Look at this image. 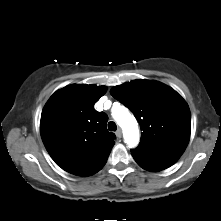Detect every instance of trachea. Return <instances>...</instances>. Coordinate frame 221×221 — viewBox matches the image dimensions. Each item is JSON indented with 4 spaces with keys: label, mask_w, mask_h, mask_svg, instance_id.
I'll return each mask as SVG.
<instances>
[{
    "label": "trachea",
    "mask_w": 221,
    "mask_h": 221,
    "mask_svg": "<svg viewBox=\"0 0 221 221\" xmlns=\"http://www.w3.org/2000/svg\"><path fill=\"white\" fill-rule=\"evenodd\" d=\"M108 129H109V131H116L117 126H116L115 122L110 121V122L108 123Z\"/></svg>",
    "instance_id": "1"
}]
</instances>
